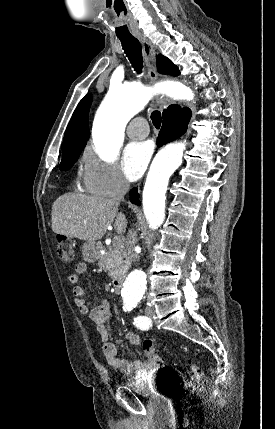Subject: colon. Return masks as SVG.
<instances>
[{"label":"colon","mask_w":275,"mask_h":429,"mask_svg":"<svg viewBox=\"0 0 275 429\" xmlns=\"http://www.w3.org/2000/svg\"><path fill=\"white\" fill-rule=\"evenodd\" d=\"M57 254L59 258L63 262H71L74 259L75 256V249L73 243L64 237L58 238L57 243ZM143 350L146 354V356L156 364H161L162 359L161 357L156 353L154 349V344L152 341H147L144 346ZM202 380V370L201 368L196 364H191L190 372H189V378L184 380L180 388L185 392H194L199 389L200 383Z\"/></svg>","instance_id":"colon-1"}]
</instances>
